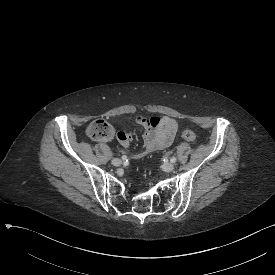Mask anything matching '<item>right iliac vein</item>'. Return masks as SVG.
I'll use <instances>...</instances> for the list:
<instances>
[{
  "label": "right iliac vein",
  "mask_w": 275,
  "mask_h": 275,
  "mask_svg": "<svg viewBox=\"0 0 275 275\" xmlns=\"http://www.w3.org/2000/svg\"><path fill=\"white\" fill-rule=\"evenodd\" d=\"M122 163V161L119 158L112 159V164L114 166H119Z\"/></svg>",
  "instance_id": "right-iliac-vein-1"
}]
</instances>
